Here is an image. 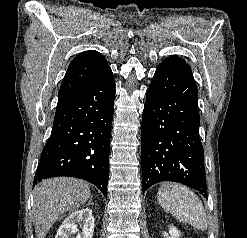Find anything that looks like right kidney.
I'll return each instance as SVG.
<instances>
[{"label": "right kidney", "instance_id": "1", "mask_svg": "<svg viewBox=\"0 0 247 238\" xmlns=\"http://www.w3.org/2000/svg\"><path fill=\"white\" fill-rule=\"evenodd\" d=\"M83 223L82 233H78L76 238H92L94 229V217L92 210L84 208L72 212L59 227L55 238H70L78 232L77 223Z\"/></svg>", "mask_w": 247, "mask_h": 238}]
</instances>
